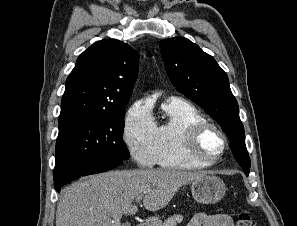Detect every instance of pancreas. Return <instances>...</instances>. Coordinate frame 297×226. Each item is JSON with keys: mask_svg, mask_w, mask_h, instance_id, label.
<instances>
[{"mask_svg": "<svg viewBox=\"0 0 297 226\" xmlns=\"http://www.w3.org/2000/svg\"><path fill=\"white\" fill-rule=\"evenodd\" d=\"M183 216L182 215H173L167 218L164 221L162 226H177L178 223H182Z\"/></svg>", "mask_w": 297, "mask_h": 226, "instance_id": "obj_1", "label": "pancreas"}]
</instances>
